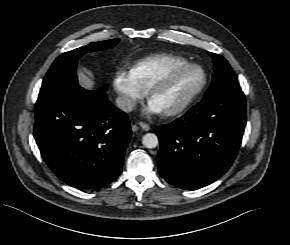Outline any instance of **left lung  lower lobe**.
<instances>
[{
    "instance_id": "obj_1",
    "label": "left lung lower lobe",
    "mask_w": 290,
    "mask_h": 245,
    "mask_svg": "<svg viewBox=\"0 0 290 245\" xmlns=\"http://www.w3.org/2000/svg\"><path fill=\"white\" fill-rule=\"evenodd\" d=\"M245 125L246 101L241 90L203 99L181 118L155 129L160 175L183 189L211 184L232 165Z\"/></svg>"
}]
</instances>
